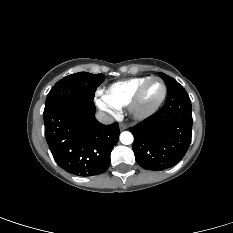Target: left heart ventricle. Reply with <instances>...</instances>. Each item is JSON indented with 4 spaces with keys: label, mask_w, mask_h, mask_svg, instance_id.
Segmentation results:
<instances>
[{
    "label": "left heart ventricle",
    "mask_w": 233,
    "mask_h": 233,
    "mask_svg": "<svg viewBox=\"0 0 233 233\" xmlns=\"http://www.w3.org/2000/svg\"><path fill=\"white\" fill-rule=\"evenodd\" d=\"M162 92H163V87H162L161 82L158 80L151 81L147 85L143 93V96L141 99V107L149 108L153 106L161 97Z\"/></svg>",
    "instance_id": "obj_1"
}]
</instances>
